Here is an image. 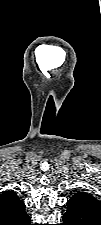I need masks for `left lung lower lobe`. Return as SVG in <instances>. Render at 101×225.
Masks as SVG:
<instances>
[{"mask_svg": "<svg viewBox=\"0 0 101 225\" xmlns=\"http://www.w3.org/2000/svg\"><path fill=\"white\" fill-rule=\"evenodd\" d=\"M62 225H101L100 216L87 212L67 209Z\"/></svg>", "mask_w": 101, "mask_h": 225, "instance_id": "left-lung-lower-lobe-1", "label": "left lung lower lobe"}]
</instances>
